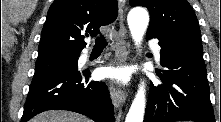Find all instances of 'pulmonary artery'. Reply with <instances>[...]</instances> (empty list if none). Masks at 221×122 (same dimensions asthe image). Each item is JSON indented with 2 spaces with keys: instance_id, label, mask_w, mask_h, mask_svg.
I'll return each mask as SVG.
<instances>
[{
  "instance_id": "e3ab8cb5",
  "label": "pulmonary artery",
  "mask_w": 221,
  "mask_h": 122,
  "mask_svg": "<svg viewBox=\"0 0 221 122\" xmlns=\"http://www.w3.org/2000/svg\"><path fill=\"white\" fill-rule=\"evenodd\" d=\"M151 47L154 51L156 60L160 61V46L157 44L156 41H151ZM86 57H87V54H84L83 58H86Z\"/></svg>"
}]
</instances>
